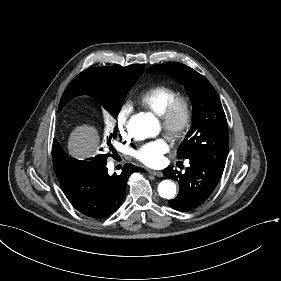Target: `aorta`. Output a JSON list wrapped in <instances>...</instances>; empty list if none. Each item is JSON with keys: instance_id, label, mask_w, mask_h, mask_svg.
Segmentation results:
<instances>
[{"instance_id": "aorta-1", "label": "aorta", "mask_w": 281, "mask_h": 281, "mask_svg": "<svg viewBox=\"0 0 281 281\" xmlns=\"http://www.w3.org/2000/svg\"><path fill=\"white\" fill-rule=\"evenodd\" d=\"M129 132L138 140L156 136L159 133V124L152 114L140 113L129 121ZM159 195L172 199L176 195V185L171 180H164L158 185Z\"/></svg>"}]
</instances>
